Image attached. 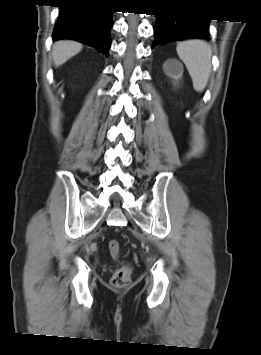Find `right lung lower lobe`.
<instances>
[{
  "label": "right lung lower lobe",
  "mask_w": 261,
  "mask_h": 355,
  "mask_svg": "<svg viewBox=\"0 0 261 355\" xmlns=\"http://www.w3.org/2000/svg\"><path fill=\"white\" fill-rule=\"evenodd\" d=\"M59 7L53 40H76L108 56L113 11L106 9L102 0H64Z\"/></svg>",
  "instance_id": "right-lung-lower-lobe-1"
}]
</instances>
